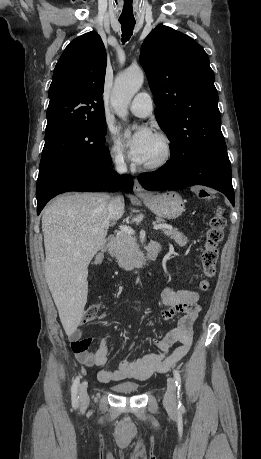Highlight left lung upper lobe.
Returning a JSON list of instances; mask_svg holds the SVG:
<instances>
[{"label": "left lung upper lobe", "instance_id": "1", "mask_svg": "<svg viewBox=\"0 0 261 459\" xmlns=\"http://www.w3.org/2000/svg\"><path fill=\"white\" fill-rule=\"evenodd\" d=\"M141 65L155 97V116L171 141L170 162L226 148L214 73L203 48L189 36L158 25L141 48Z\"/></svg>", "mask_w": 261, "mask_h": 459}]
</instances>
